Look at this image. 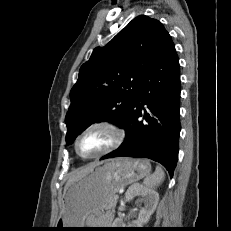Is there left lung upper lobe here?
I'll return each instance as SVG.
<instances>
[{"label":"left lung upper lobe","mask_w":231,"mask_h":231,"mask_svg":"<svg viewBox=\"0 0 231 231\" xmlns=\"http://www.w3.org/2000/svg\"><path fill=\"white\" fill-rule=\"evenodd\" d=\"M168 34L161 22L140 15L105 47L93 50L70 92L67 144L94 122L123 124Z\"/></svg>","instance_id":"5c2ea615"}]
</instances>
